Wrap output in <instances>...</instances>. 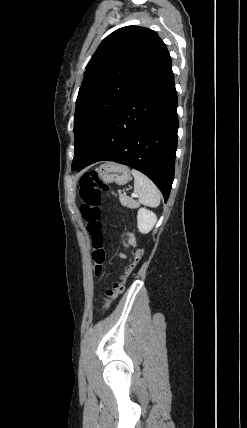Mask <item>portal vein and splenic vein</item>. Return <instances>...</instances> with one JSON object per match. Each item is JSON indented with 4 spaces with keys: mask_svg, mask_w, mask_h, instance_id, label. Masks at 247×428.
<instances>
[{
    "mask_svg": "<svg viewBox=\"0 0 247 428\" xmlns=\"http://www.w3.org/2000/svg\"><path fill=\"white\" fill-rule=\"evenodd\" d=\"M132 196H136V194H135V193H132Z\"/></svg>",
    "mask_w": 247,
    "mask_h": 428,
    "instance_id": "18ae733b",
    "label": "portal vein and splenic vein"
}]
</instances>
